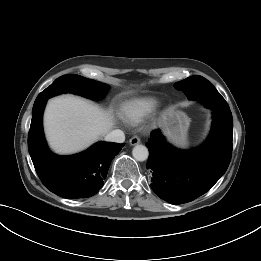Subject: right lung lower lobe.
I'll return each instance as SVG.
<instances>
[{"label": "right lung lower lobe", "instance_id": "1", "mask_svg": "<svg viewBox=\"0 0 261 261\" xmlns=\"http://www.w3.org/2000/svg\"><path fill=\"white\" fill-rule=\"evenodd\" d=\"M48 98L34 104L28 135V149L42 183L53 193L66 199L87 198L97 193L111 161L123 144L100 142L72 156H56L47 147L42 116Z\"/></svg>", "mask_w": 261, "mask_h": 261}]
</instances>
